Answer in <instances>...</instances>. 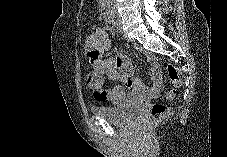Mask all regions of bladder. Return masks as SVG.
<instances>
[{
  "mask_svg": "<svg viewBox=\"0 0 227 157\" xmlns=\"http://www.w3.org/2000/svg\"><path fill=\"white\" fill-rule=\"evenodd\" d=\"M92 113L119 126H127L136 121L143 113V106L136 103H129L116 107L96 106Z\"/></svg>",
  "mask_w": 227,
  "mask_h": 157,
  "instance_id": "bladder-1",
  "label": "bladder"
}]
</instances>
